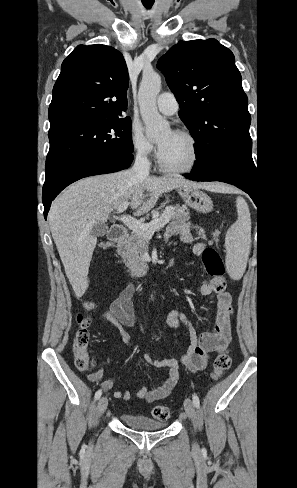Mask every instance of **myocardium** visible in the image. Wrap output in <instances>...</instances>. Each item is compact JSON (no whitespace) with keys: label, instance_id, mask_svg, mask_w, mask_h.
<instances>
[{"label":"myocardium","instance_id":"1","mask_svg":"<svg viewBox=\"0 0 297 488\" xmlns=\"http://www.w3.org/2000/svg\"><path fill=\"white\" fill-rule=\"evenodd\" d=\"M174 134L181 136L185 138L191 145L192 151H193V157L191 162L183 168H173L167 166L161 159L160 157V152L159 149L157 150V155H156V160L159 168L166 173L170 174H186L192 172L198 165L199 160H200V148L198 145L197 140L194 138L192 134L185 130H175L173 131Z\"/></svg>","mask_w":297,"mask_h":488}]
</instances>
